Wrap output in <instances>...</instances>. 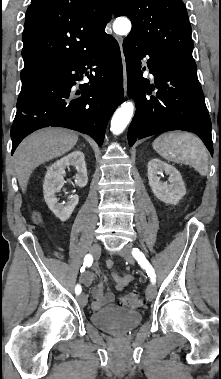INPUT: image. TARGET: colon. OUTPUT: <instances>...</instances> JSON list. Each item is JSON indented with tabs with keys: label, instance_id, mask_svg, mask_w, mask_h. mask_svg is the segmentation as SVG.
<instances>
[{
	"label": "colon",
	"instance_id": "obj_1",
	"mask_svg": "<svg viewBox=\"0 0 221 379\" xmlns=\"http://www.w3.org/2000/svg\"><path fill=\"white\" fill-rule=\"evenodd\" d=\"M34 220L40 222L41 217L39 214L34 215ZM121 304L129 307H138L142 304V300L137 294L129 293L122 297Z\"/></svg>",
	"mask_w": 221,
	"mask_h": 379
}]
</instances>
